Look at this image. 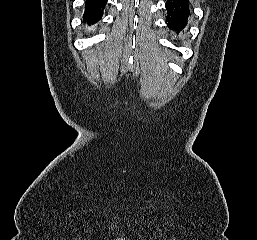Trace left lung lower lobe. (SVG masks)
<instances>
[{
  "instance_id": "left-lung-lower-lobe-1",
  "label": "left lung lower lobe",
  "mask_w": 257,
  "mask_h": 240,
  "mask_svg": "<svg viewBox=\"0 0 257 240\" xmlns=\"http://www.w3.org/2000/svg\"><path fill=\"white\" fill-rule=\"evenodd\" d=\"M165 7L168 12L167 25L178 34L187 24L190 14L189 0H167Z\"/></svg>"
}]
</instances>
